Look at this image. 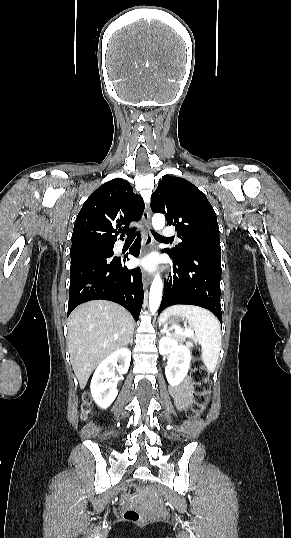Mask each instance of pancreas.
I'll return each mask as SVG.
<instances>
[{
    "label": "pancreas",
    "mask_w": 291,
    "mask_h": 538,
    "mask_svg": "<svg viewBox=\"0 0 291 538\" xmlns=\"http://www.w3.org/2000/svg\"><path fill=\"white\" fill-rule=\"evenodd\" d=\"M170 336L179 342H184L186 339V337L181 334H171Z\"/></svg>",
    "instance_id": "obj_1"
}]
</instances>
